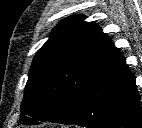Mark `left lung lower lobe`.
<instances>
[{
	"instance_id": "obj_1",
	"label": "left lung lower lobe",
	"mask_w": 142,
	"mask_h": 128,
	"mask_svg": "<svg viewBox=\"0 0 142 128\" xmlns=\"http://www.w3.org/2000/svg\"><path fill=\"white\" fill-rule=\"evenodd\" d=\"M135 77L120 53L82 90L66 117L55 121L88 128H142Z\"/></svg>"
}]
</instances>
